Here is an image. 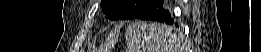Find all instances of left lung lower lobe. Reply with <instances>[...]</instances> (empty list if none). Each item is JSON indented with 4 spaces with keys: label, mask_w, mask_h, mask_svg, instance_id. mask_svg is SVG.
<instances>
[{
    "label": "left lung lower lobe",
    "mask_w": 261,
    "mask_h": 52,
    "mask_svg": "<svg viewBox=\"0 0 261 52\" xmlns=\"http://www.w3.org/2000/svg\"><path fill=\"white\" fill-rule=\"evenodd\" d=\"M137 18L145 20L160 21L168 25L174 23L168 10L163 9V1L155 0V2L144 12H142ZM177 25V24H176ZM172 35H169L170 38Z\"/></svg>",
    "instance_id": "obj_1"
}]
</instances>
